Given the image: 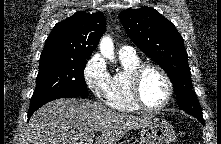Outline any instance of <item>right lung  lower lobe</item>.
Instances as JSON below:
<instances>
[{"label":"right lung lower lobe","mask_w":221,"mask_h":144,"mask_svg":"<svg viewBox=\"0 0 221 144\" xmlns=\"http://www.w3.org/2000/svg\"><path fill=\"white\" fill-rule=\"evenodd\" d=\"M73 97H77V95H65V96H61V97H59V98H73ZM57 99H58V98H57ZM34 112H35V110L28 112V120H29V118L32 116V114H33Z\"/></svg>","instance_id":"obj_1"}]
</instances>
